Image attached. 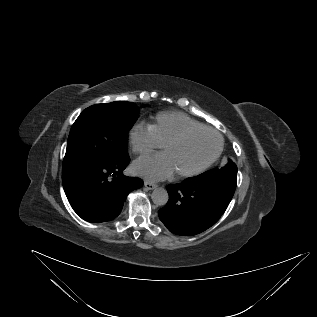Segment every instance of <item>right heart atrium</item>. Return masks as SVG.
Returning <instances> with one entry per match:
<instances>
[{"label":"right heart atrium","mask_w":317,"mask_h":317,"mask_svg":"<svg viewBox=\"0 0 317 317\" xmlns=\"http://www.w3.org/2000/svg\"><path fill=\"white\" fill-rule=\"evenodd\" d=\"M128 138L133 152L139 155L149 154L162 146L150 125L144 122L135 123L129 130Z\"/></svg>","instance_id":"d8ad5b80"}]
</instances>
